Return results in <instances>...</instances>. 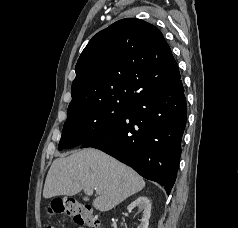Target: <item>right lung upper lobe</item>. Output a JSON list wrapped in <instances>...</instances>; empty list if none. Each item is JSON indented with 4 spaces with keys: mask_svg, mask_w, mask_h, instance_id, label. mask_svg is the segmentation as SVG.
Returning a JSON list of instances; mask_svg holds the SVG:
<instances>
[{
    "mask_svg": "<svg viewBox=\"0 0 238 228\" xmlns=\"http://www.w3.org/2000/svg\"><path fill=\"white\" fill-rule=\"evenodd\" d=\"M75 72L67 114L98 103H128L180 79L160 30L135 18L97 33L81 53Z\"/></svg>",
    "mask_w": 238,
    "mask_h": 228,
    "instance_id": "obj_1",
    "label": "right lung upper lobe"
}]
</instances>
